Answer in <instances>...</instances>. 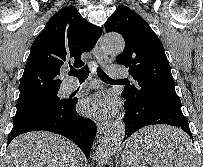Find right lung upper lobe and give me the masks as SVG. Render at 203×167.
Segmentation results:
<instances>
[{"instance_id":"obj_1","label":"right lung upper lobe","mask_w":203,"mask_h":167,"mask_svg":"<svg viewBox=\"0 0 203 167\" xmlns=\"http://www.w3.org/2000/svg\"><path fill=\"white\" fill-rule=\"evenodd\" d=\"M101 34L102 29L89 23L73 6L53 15L31 46L17 105L58 92L62 70L83 66L81 54L93 49Z\"/></svg>"}]
</instances>
